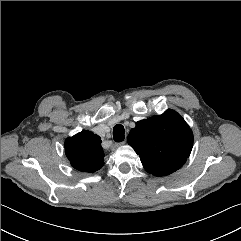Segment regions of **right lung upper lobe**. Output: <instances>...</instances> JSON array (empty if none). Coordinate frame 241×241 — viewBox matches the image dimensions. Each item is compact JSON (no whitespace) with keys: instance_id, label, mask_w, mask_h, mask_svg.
<instances>
[{"instance_id":"cb5924a9","label":"right lung upper lobe","mask_w":241,"mask_h":241,"mask_svg":"<svg viewBox=\"0 0 241 241\" xmlns=\"http://www.w3.org/2000/svg\"><path fill=\"white\" fill-rule=\"evenodd\" d=\"M64 147L71 165L79 171L95 172L104 165L101 138L90 131L67 138Z\"/></svg>"}]
</instances>
